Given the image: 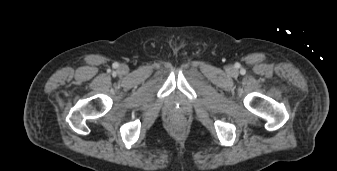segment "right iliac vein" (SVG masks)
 I'll return each mask as SVG.
<instances>
[{
  "label": "right iliac vein",
  "instance_id": "obj_1",
  "mask_svg": "<svg viewBox=\"0 0 337 171\" xmlns=\"http://www.w3.org/2000/svg\"><path fill=\"white\" fill-rule=\"evenodd\" d=\"M123 72H125L126 70H127V68H126V66H121V68H120Z\"/></svg>",
  "mask_w": 337,
  "mask_h": 171
}]
</instances>
